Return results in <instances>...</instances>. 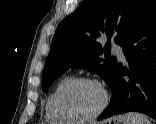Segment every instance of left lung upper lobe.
<instances>
[{"instance_id": "1", "label": "left lung upper lobe", "mask_w": 156, "mask_h": 124, "mask_svg": "<svg viewBox=\"0 0 156 124\" xmlns=\"http://www.w3.org/2000/svg\"><path fill=\"white\" fill-rule=\"evenodd\" d=\"M153 0H84L80 7L57 27L44 68L46 90L70 67H84L108 84L118 63L108 54L109 39L123 45L150 8ZM107 35L104 48L96 40ZM106 59L99 56L103 55Z\"/></svg>"}]
</instances>
